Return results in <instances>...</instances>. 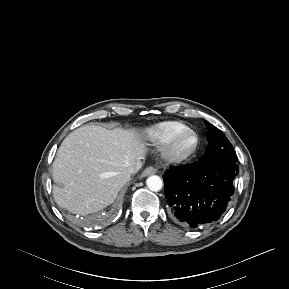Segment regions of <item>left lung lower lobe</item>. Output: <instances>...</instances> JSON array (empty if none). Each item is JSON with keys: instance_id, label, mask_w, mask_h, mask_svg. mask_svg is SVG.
Here are the masks:
<instances>
[{"instance_id": "0a47b994", "label": "left lung lower lobe", "mask_w": 289, "mask_h": 289, "mask_svg": "<svg viewBox=\"0 0 289 289\" xmlns=\"http://www.w3.org/2000/svg\"><path fill=\"white\" fill-rule=\"evenodd\" d=\"M238 172L236 163L220 165L200 160L166 170L165 197L174 217L191 228L218 220L232 198Z\"/></svg>"}]
</instances>
